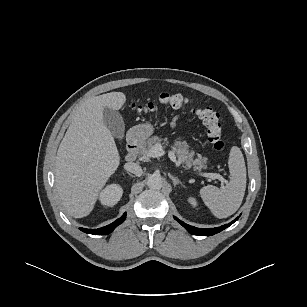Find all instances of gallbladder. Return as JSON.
Returning a JSON list of instances; mask_svg holds the SVG:
<instances>
[{"instance_id": "gallbladder-1", "label": "gallbladder", "mask_w": 307, "mask_h": 307, "mask_svg": "<svg viewBox=\"0 0 307 307\" xmlns=\"http://www.w3.org/2000/svg\"><path fill=\"white\" fill-rule=\"evenodd\" d=\"M103 122L113 136L118 139L124 137V120L118 111L105 107L103 109Z\"/></svg>"}]
</instances>
